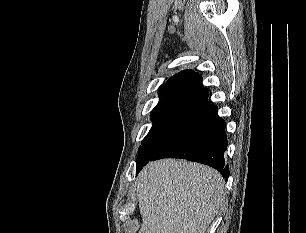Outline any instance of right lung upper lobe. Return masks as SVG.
Instances as JSON below:
<instances>
[{"instance_id":"1","label":"right lung upper lobe","mask_w":306,"mask_h":233,"mask_svg":"<svg viewBox=\"0 0 306 233\" xmlns=\"http://www.w3.org/2000/svg\"><path fill=\"white\" fill-rule=\"evenodd\" d=\"M202 77L191 70L182 71L170 78L159 89L163 102H183L202 108L211 106L208 102V91L201 83Z\"/></svg>"}]
</instances>
